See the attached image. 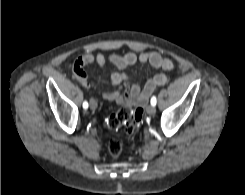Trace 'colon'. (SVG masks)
<instances>
[{"mask_svg": "<svg viewBox=\"0 0 245 195\" xmlns=\"http://www.w3.org/2000/svg\"><path fill=\"white\" fill-rule=\"evenodd\" d=\"M142 115L141 107L124 106L117 112L106 115L104 124L111 131L123 129L126 133L131 134L139 127ZM108 150L112 159H118L122 154L123 145L118 138L110 137Z\"/></svg>", "mask_w": 245, "mask_h": 195, "instance_id": "5ec220e1", "label": "colon"}]
</instances>
